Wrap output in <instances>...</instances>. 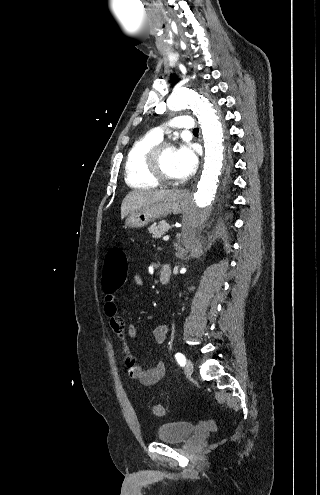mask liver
<instances>
[{"label": "liver", "mask_w": 320, "mask_h": 495, "mask_svg": "<svg viewBox=\"0 0 320 495\" xmlns=\"http://www.w3.org/2000/svg\"><path fill=\"white\" fill-rule=\"evenodd\" d=\"M170 190H133L128 193L121 204V219L132 211L151 205L170 194Z\"/></svg>", "instance_id": "liver-1"}]
</instances>
